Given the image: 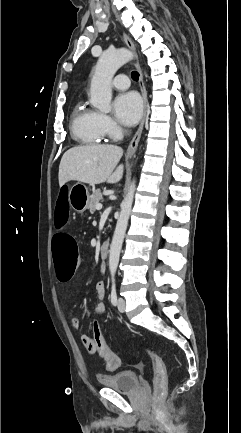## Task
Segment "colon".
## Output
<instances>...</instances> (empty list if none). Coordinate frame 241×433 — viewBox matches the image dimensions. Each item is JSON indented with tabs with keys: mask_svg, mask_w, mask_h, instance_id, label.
<instances>
[{
	"mask_svg": "<svg viewBox=\"0 0 241 433\" xmlns=\"http://www.w3.org/2000/svg\"><path fill=\"white\" fill-rule=\"evenodd\" d=\"M55 200V220L58 228H63L68 223L70 216V200L66 186H59ZM52 257L54 258L57 278L60 282H69L76 270L78 249L76 238H73L72 230H55L51 238ZM93 342H88V349L95 350L105 362L108 370H116L120 365V360L116 354L111 352L103 338L100 323H93ZM153 366V395L156 402L164 396L167 390V369L164 360L149 348H143Z\"/></svg>",
	"mask_w": 241,
	"mask_h": 433,
	"instance_id": "colon-1",
	"label": "colon"
}]
</instances>
